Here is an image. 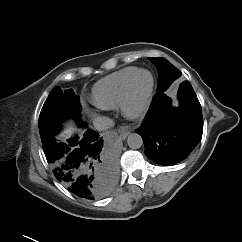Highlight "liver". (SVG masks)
I'll list each match as a JSON object with an SVG mask.
<instances>
[{"label": "liver", "instance_id": "6515ba94", "mask_svg": "<svg viewBox=\"0 0 242 242\" xmlns=\"http://www.w3.org/2000/svg\"><path fill=\"white\" fill-rule=\"evenodd\" d=\"M76 131V128L73 127L72 123L70 122L64 131L58 136L59 139H68L72 136V134Z\"/></svg>", "mask_w": 242, "mask_h": 242}]
</instances>
